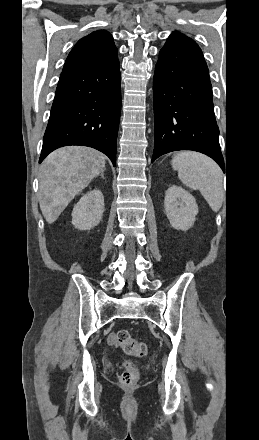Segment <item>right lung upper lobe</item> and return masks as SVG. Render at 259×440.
Instances as JSON below:
<instances>
[{
	"instance_id": "obj_1",
	"label": "right lung upper lobe",
	"mask_w": 259,
	"mask_h": 440,
	"mask_svg": "<svg viewBox=\"0 0 259 440\" xmlns=\"http://www.w3.org/2000/svg\"><path fill=\"white\" fill-rule=\"evenodd\" d=\"M112 36L98 30L80 39L69 53L63 71L81 70L98 66L117 56Z\"/></svg>"
}]
</instances>
